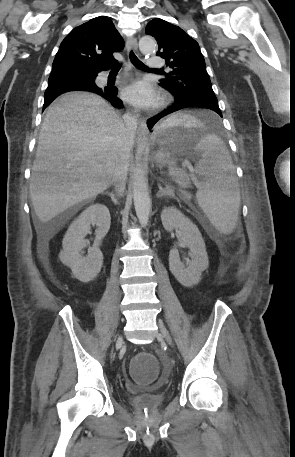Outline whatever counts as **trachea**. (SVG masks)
Instances as JSON below:
<instances>
[{
	"mask_svg": "<svg viewBox=\"0 0 295 457\" xmlns=\"http://www.w3.org/2000/svg\"><path fill=\"white\" fill-rule=\"evenodd\" d=\"M130 60L131 62L133 63V65L138 68V69H141V70H148L149 68L143 64L138 58L137 56L133 53V51L130 52ZM121 68V65H117L114 67V70H119Z\"/></svg>",
	"mask_w": 295,
	"mask_h": 457,
	"instance_id": "obj_1",
	"label": "trachea"
}]
</instances>
